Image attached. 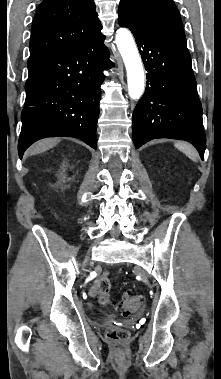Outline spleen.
Here are the masks:
<instances>
[{
    "mask_svg": "<svg viewBox=\"0 0 221 379\" xmlns=\"http://www.w3.org/2000/svg\"><path fill=\"white\" fill-rule=\"evenodd\" d=\"M175 147L188 156L191 160L195 162L197 161L198 154L190 144L186 142H177L175 143Z\"/></svg>",
    "mask_w": 221,
    "mask_h": 379,
    "instance_id": "obj_1",
    "label": "spleen"
}]
</instances>
